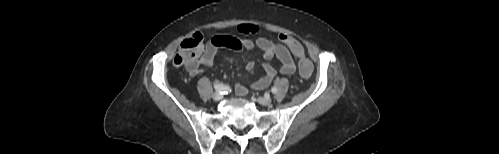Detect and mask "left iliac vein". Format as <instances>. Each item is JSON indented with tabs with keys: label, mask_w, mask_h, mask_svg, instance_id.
I'll use <instances>...</instances> for the list:
<instances>
[{
	"label": "left iliac vein",
	"mask_w": 499,
	"mask_h": 154,
	"mask_svg": "<svg viewBox=\"0 0 499 154\" xmlns=\"http://www.w3.org/2000/svg\"><path fill=\"white\" fill-rule=\"evenodd\" d=\"M257 102L261 105H269L272 102V99L269 96L259 97L257 98Z\"/></svg>",
	"instance_id": "left-iliac-vein-1"
}]
</instances>
